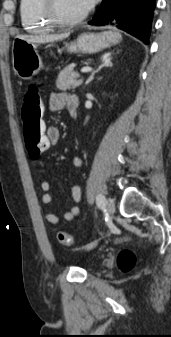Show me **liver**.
<instances>
[{
  "mask_svg": "<svg viewBox=\"0 0 171 337\" xmlns=\"http://www.w3.org/2000/svg\"><path fill=\"white\" fill-rule=\"evenodd\" d=\"M69 34H61V35H35V36H28V35H19L17 38L26 40L28 42L32 43H48V42H54L57 40H62L66 37H68Z\"/></svg>",
  "mask_w": 171,
  "mask_h": 337,
  "instance_id": "6515ba94",
  "label": "liver"
}]
</instances>
